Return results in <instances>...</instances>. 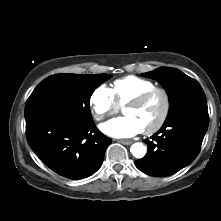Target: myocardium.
Returning <instances> with one entry per match:
<instances>
[{"instance_id": "1", "label": "myocardium", "mask_w": 221, "mask_h": 221, "mask_svg": "<svg viewBox=\"0 0 221 221\" xmlns=\"http://www.w3.org/2000/svg\"><path fill=\"white\" fill-rule=\"evenodd\" d=\"M156 94L162 95L164 100V109L159 120L152 127L143 130L144 134L146 135H151L158 132L166 123L171 110V99L168 91L163 87L155 86L147 90L146 92L140 94L139 96L135 97L134 99L130 100L124 105V108L141 106Z\"/></svg>"}]
</instances>
